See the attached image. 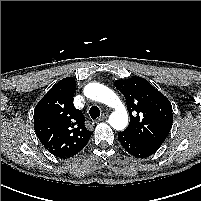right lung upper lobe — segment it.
<instances>
[{
	"instance_id": "cb5924a9",
	"label": "right lung upper lobe",
	"mask_w": 201,
	"mask_h": 201,
	"mask_svg": "<svg viewBox=\"0 0 201 201\" xmlns=\"http://www.w3.org/2000/svg\"><path fill=\"white\" fill-rule=\"evenodd\" d=\"M76 82L67 77L56 83L34 110V129L44 147L59 158L80 152L93 132L85 127L82 111L73 104Z\"/></svg>"
}]
</instances>
